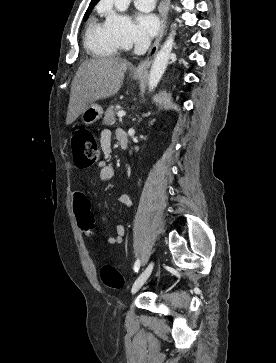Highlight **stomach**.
I'll list each match as a JSON object with an SVG mask.
<instances>
[{
	"label": "stomach",
	"mask_w": 276,
	"mask_h": 363,
	"mask_svg": "<svg viewBox=\"0 0 276 363\" xmlns=\"http://www.w3.org/2000/svg\"><path fill=\"white\" fill-rule=\"evenodd\" d=\"M142 74H134V78L141 79ZM103 114V109L96 103L89 104L86 109L81 113V119L84 124L91 125L98 121Z\"/></svg>",
	"instance_id": "0dacf381"
}]
</instances>
